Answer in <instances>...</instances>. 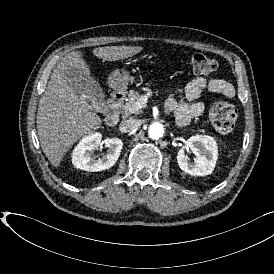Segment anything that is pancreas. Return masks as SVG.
Returning a JSON list of instances; mask_svg holds the SVG:
<instances>
[{
  "mask_svg": "<svg viewBox=\"0 0 274 274\" xmlns=\"http://www.w3.org/2000/svg\"><path fill=\"white\" fill-rule=\"evenodd\" d=\"M141 98V94L135 91H130L129 97L127 98L126 102L122 105L121 109L125 112V113H134L135 111H133L131 108L135 105L136 101H139ZM141 110V109H140ZM140 110L136 111L139 112ZM193 130V128H191ZM196 131L199 132H205V129L203 128H198L195 129Z\"/></svg>",
  "mask_w": 274,
  "mask_h": 274,
  "instance_id": "obj_1",
  "label": "pancreas"
}]
</instances>
